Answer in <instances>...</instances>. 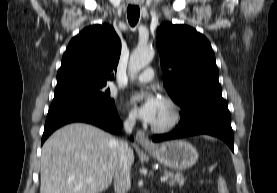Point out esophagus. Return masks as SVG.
<instances>
[{
	"mask_svg": "<svg viewBox=\"0 0 277 193\" xmlns=\"http://www.w3.org/2000/svg\"><path fill=\"white\" fill-rule=\"evenodd\" d=\"M136 140H137L138 144H140L142 147L151 148V147L154 146L150 142V140L147 137V135L143 131H141V130L137 131V133H136Z\"/></svg>",
	"mask_w": 277,
	"mask_h": 193,
	"instance_id": "obj_1",
	"label": "esophagus"
}]
</instances>
